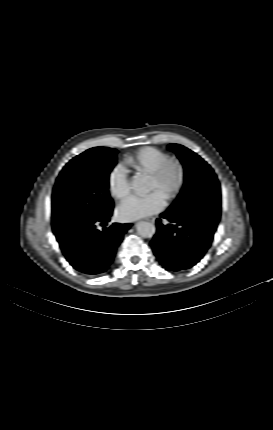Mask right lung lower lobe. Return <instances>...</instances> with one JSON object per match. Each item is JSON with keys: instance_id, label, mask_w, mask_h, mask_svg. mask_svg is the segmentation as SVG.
<instances>
[{"instance_id": "right-lung-lower-lobe-1", "label": "right lung lower lobe", "mask_w": 273, "mask_h": 430, "mask_svg": "<svg viewBox=\"0 0 273 430\" xmlns=\"http://www.w3.org/2000/svg\"><path fill=\"white\" fill-rule=\"evenodd\" d=\"M112 211L90 222L55 234L67 261L79 272L96 276L106 272L112 264L116 249L131 224L114 223L103 231L97 226L110 221Z\"/></svg>"}]
</instances>
